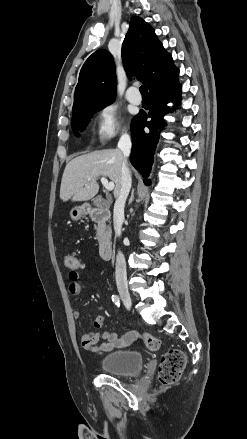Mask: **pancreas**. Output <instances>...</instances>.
<instances>
[{
  "label": "pancreas",
  "instance_id": "cf45deb5",
  "mask_svg": "<svg viewBox=\"0 0 247 439\" xmlns=\"http://www.w3.org/2000/svg\"><path fill=\"white\" fill-rule=\"evenodd\" d=\"M103 234H108L110 235V230H106V229H102V230H97V237L100 238Z\"/></svg>",
  "mask_w": 247,
  "mask_h": 439
}]
</instances>
